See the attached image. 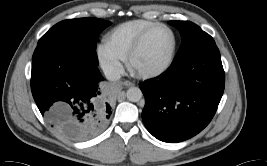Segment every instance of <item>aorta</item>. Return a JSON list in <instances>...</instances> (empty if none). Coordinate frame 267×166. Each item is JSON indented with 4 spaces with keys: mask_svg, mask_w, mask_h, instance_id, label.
Returning a JSON list of instances; mask_svg holds the SVG:
<instances>
[{
    "mask_svg": "<svg viewBox=\"0 0 267 166\" xmlns=\"http://www.w3.org/2000/svg\"><path fill=\"white\" fill-rule=\"evenodd\" d=\"M127 99L131 102H138L141 100L143 94L140 88L130 87L126 92Z\"/></svg>",
    "mask_w": 267,
    "mask_h": 166,
    "instance_id": "1",
    "label": "aorta"
}]
</instances>
